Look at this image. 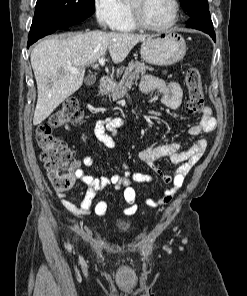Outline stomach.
I'll return each instance as SVG.
<instances>
[{
  "label": "stomach",
  "instance_id": "1",
  "mask_svg": "<svg viewBox=\"0 0 247 296\" xmlns=\"http://www.w3.org/2000/svg\"><path fill=\"white\" fill-rule=\"evenodd\" d=\"M140 53L146 63L169 66L184 58L186 43L182 35L169 30L146 37L142 41Z\"/></svg>",
  "mask_w": 247,
  "mask_h": 296
}]
</instances>
